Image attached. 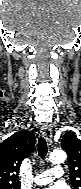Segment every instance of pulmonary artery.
Segmentation results:
<instances>
[{
    "label": "pulmonary artery",
    "mask_w": 81,
    "mask_h": 189,
    "mask_svg": "<svg viewBox=\"0 0 81 189\" xmlns=\"http://www.w3.org/2000/svg\"><path fill=\"white\" fill-rule=\"evenodd\" d=\"M63 176V169L61 167H53L49 171H45L34 177L33 181L37 185H45L60 179Z\"/></svg>",
    "instance_id": "1"
}]
</instances>
